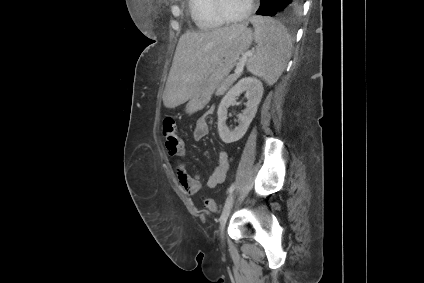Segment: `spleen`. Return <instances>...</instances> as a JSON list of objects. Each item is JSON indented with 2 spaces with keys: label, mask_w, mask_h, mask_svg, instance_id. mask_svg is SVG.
Listing matches in <instances>:
<instances>
[{
  "label": "spleen",
  "mask_w": 424,
  "mask_h": 283,
  "mask_svg": "<svg viewBox=\"0 0 424 283\" xmlns=\"http://www.w3.org/2000/svg\"><path fill=\"white\" fill-rule=\"evenodd\" d=\"M256 50L247 62L248 72L271 86L283 73L291 57L292 39L287 29L271 18L254 16Z\"/></svg>",
  "instance_id": "obj_1"
}]
</instances>
